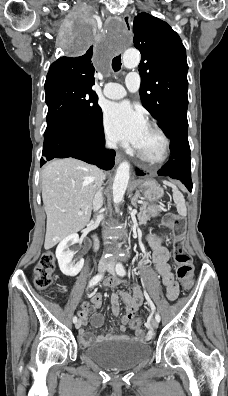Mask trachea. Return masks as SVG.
I'll use <instances>...</instances> for the list:
<instances>
[{"label": "trachea", "mask_w": 228, "mask_h": 396, "mask_svg": "<svg viewBox=\"0 0 228 396\" xmlns=\"http://www.w3.org/2000/svg\"><path fill=\"white\" fill-rule=\"evenodd\" d=\"M121 55H118L113 58L112 60V68L115 72L119 71L121 69Z\"/></svg>", "instance_id": "trachea-1"}]
</instances>
